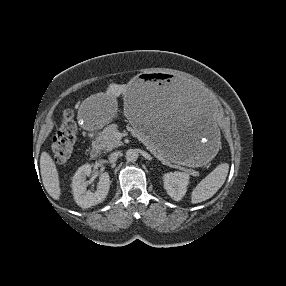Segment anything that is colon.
<instances>
[{
	"label": "colon",
	"mask_w": 286,
	"mask_h": 286,
	"mask_svg": "<svg viewBox=\"0 0 286 286\" xmlns=\"http://www.w3.org/2000/svg\"><path fill=\"white\" fill-rule=\"evenodd\" d=\"M77 140V126L70 110H65L58 122L52 143L56 163H65L72 155Z\"/></svg>",
	"instance_id": "5ec220e1"
}]
</instances>
